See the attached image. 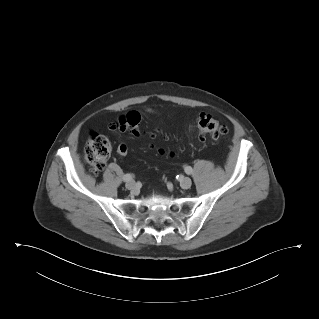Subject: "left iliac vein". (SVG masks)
Listing matches in <instances>:
<instances>
[{
	"label": "left iliac vein",
	"instance_id": "4c4485c4",
	"mask_svg": "<svg viewBox=\"0 0 319 319\" xmlns=\"http://www.w3.org/2000/svg\"><path fill=\"white\" fill-rule=\"evenodd\" d=\"M192 185V181L190 178L188 177H183L181 180H180V186L183 188V189H189Z\"/></svg>",
	"mask_w": 319,
	"mask_h": 319
}]
</instances>
